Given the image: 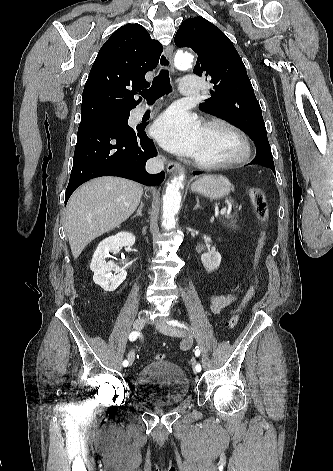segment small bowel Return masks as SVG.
Here are the masks:
<instances>
[{"label": "small bowel", "mask_w": 333, "mask_h": 471, "mask_svg": "<svg viewBox=\"0 0 333 471\" xmlns=\"http://www.w3.org/2000/svg\"><path fill=\"white\" fill-rule=\"evenodd\" d=\"M254 284H258L257 279L253 280ZM238 301V295L235 293L213 294L209 298L210 310L215 314H220L227 310L232 304ZM236 310L230 311L234 313Z\"/></svg>", "instance_id": "obj_1"}]
</instances>
